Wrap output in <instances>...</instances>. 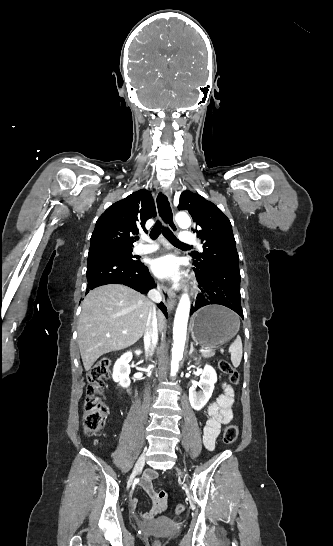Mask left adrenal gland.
Returning <instances> with one entry per match:
<instances>
[{
    "label": "left adrenal gland",
    "instance_id": "obj_1",
    "mask_svg": "<svg viewBox=\"0 0 333 546\" xmlns=\"http://www.w3.org/2000/svg\"><path fill=\"white\" fill-rule=\"evenodd\" d=\"M193 352H195V349H194V346H193V342H191L189 354L191 355Z\"/></svg>",
    "mask_w": 333,
    "mask_h": 546
}]
</instances>
